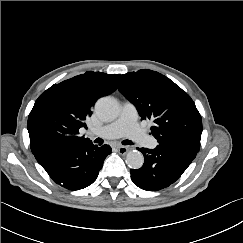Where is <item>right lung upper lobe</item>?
Returning <instances> with one entry per match:
<instances>
[{"mask_svg": "<svg viewBox=\"0 0 243 243\" xmlns=\"http://www.w3.org/2000/svg\"><path fill=\"white\" fill-rule=\"evenodd\" d=\"M119 74L87 71L52 85L35 102L28 117L31 150L45 143L85 144L79 134L92 107L117 89Z\"/></svg>", "mask_w": 243, "mask_h": 243, "instance_id": "cb5924a9", "label": "right lung upper lobe"}]
</instances>
